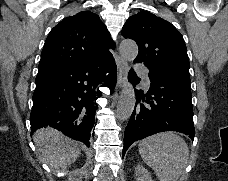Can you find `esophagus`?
Returning a JSON list of instances; mask_svg holds the SVG:
<instances>
[{
  "label": "esophagus",
  "mask_w": 228,
  "mask_h": 181,
  "mask_svg": "<svg viewBox=\"0 0 228 181\" xmlns=\"http://www.w3.org/2000/svg\"><path fill=\"white\" fill-rule=\"evenodd\" d=\"M129 68L126 61L122 58L119 60V73H118V83L117 89L122 90L127 85V78H128Z\"/></svg>",
  "instance_id": "esophagus-1"
}]
</instances>
